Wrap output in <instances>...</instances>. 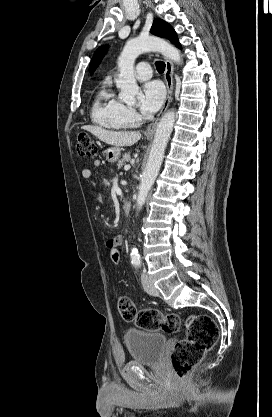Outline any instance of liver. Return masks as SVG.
Masks as SVG:
<instances>
[{"mask_svg": "<svg viewBox=\"0 0 272 417\" xmlns=\"http://www.w3.org/2000/svg\"><path fill=\"white\" fill-rule=\"evenodd\" d=\"M82 129L92 133L99 140L114 146H132L141 138V133L135 131H109L92 125H84Z\"/></svg>", "mask_w": 272, "mask_h": 417, "instance_id": "6515ba94", "label": "liver"}]
</instances>
